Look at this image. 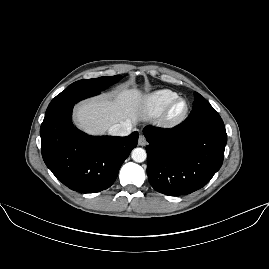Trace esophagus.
<instances>
[{"label": "esophagus", "mask_w": 269, "mask_h": 269, "mask_svg": "<svg viewBox=\"0 0 269 269\" xmlns=\"http://www.w3.org/2000/svg\"><path fill=\"white\" fill-rule=\"evenodd\" d=\"M147 144V141L143 135L139 136L138 145L144 147Z\"/></svg>", "instance_id": "obj_1"}]
</instances>
